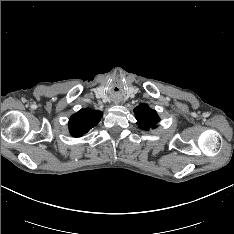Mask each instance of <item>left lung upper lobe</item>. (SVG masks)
I'll use <instances>...</instances> for the list:
<instances>
[{"label": "left lung upper lobe", "mask_w": 234, "mask_h": 234, "mask_svg": "<svg viewBox=\"0 0 234 234\" xmlns=\"http://www.w3.org/2000/svg\"><path fill=\"white\" fill-rule=\"evenodd\" d=\"M134 112L138 120L137 124L141 129L148 130L151 127L155 128L156 124L160 121L156 111L146 104H139L134 109Z\"/></svg>", "instance_id": "obj_1"}]
</instances>
